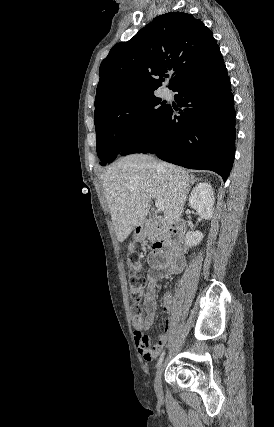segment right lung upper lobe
I'll return each mask as SVG.
<instances>
[{
	"label": "right lung upper lobe",
	"mask_w": 274,
	"mask_h": 427,
	"mask_svg": "<svg viewBox=\"0 0 274 427\" xmlns=\"http://www.w3.org/2000/svg\"><path fill=\"white\" fill-rule=\"evenodd\" d=\"M223 64L212 32L199 19L185 12L160 15L102 61L94 116L121 100L154 94L169 74L168 87L174 90Z\"/></svg>",
	"instance_id": "obj_1"
}]
</instances>
